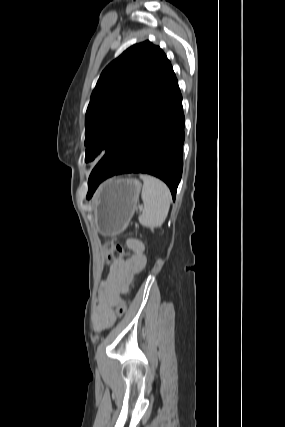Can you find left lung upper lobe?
<instances>
[{
  "mask_svg": "<svg viewBox=\"0 0 285 427\" xmlns=\"http://www.w3.org/2000/svg\"><path fill=\"white\" fill-rule=\"evenodd\" d=\"M171 64L149 41L135 44L101 73L85 117V161L111 150L147 106Z\"/></svg>",
  "mask_w": 285,
  "mask_h": 427,
  "instance_id": "5c2ea615",
  "label": "left lung upper lobe"
}]
</instances>
